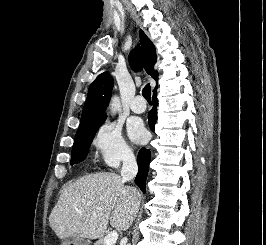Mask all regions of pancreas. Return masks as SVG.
Masks as SVG:
<instances>
[{
  "label": "pancreas",
  "mask_w": 266,
  "mask_h": 245,
  "mask_svg": "<svg viewBox=\"0 0 266 245\" xmlns=\"http://www.w3.org/2000/svg\"><path fill=\"white\" fill-rule=\"evenodd\" d=\"M95 245H104L103 239H100V241H97V243H95Z\"/></svg>",
  "instance_id": "cf45deb5"
}]
</instances>
